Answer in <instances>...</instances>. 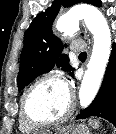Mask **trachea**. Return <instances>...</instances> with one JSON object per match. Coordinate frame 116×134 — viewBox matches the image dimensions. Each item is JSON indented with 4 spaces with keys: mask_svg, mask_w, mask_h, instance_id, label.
<instances>
[{
    "mask_svg": "<svg viewBox=\"0 0 116 134\" xmlns=\"http://www.w3.org/2000/svg\"><path fill=\"white\" fill-rule=\"evenodd\" d=\"M79 57H87V53L86 52H82V53H80Z\"/></svg>",
    "mask_w": 116,
    "mask_h": 134,
    "instance_id": "3493384b",
    "label": "trachea"
}]
</instances>
